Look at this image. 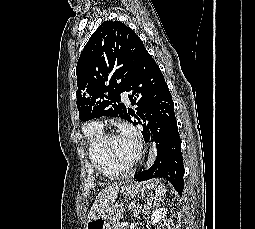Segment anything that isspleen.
Here are the masks:
<instances>
[{"label":"spleen","mask_w":255,"mask_h":229,"mask_svg":"<svg viewBox=\"0 0 255 229\" xmlns=\"http://www.w3.org/2000/svg\"><path fill=\"white\" fill-rule=\"evenodd\" d=\"M165 192H166V190L163 188L162 184H160L159 186L156 187L157 195L165 194Z\"/></svg>","instance_id":"3e777b00"}]
</instances>
